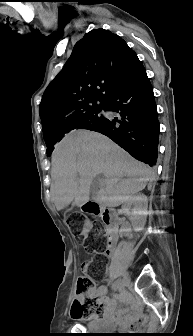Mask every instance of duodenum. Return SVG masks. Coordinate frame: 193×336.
<instances>
[{"label":"duodenum","instance_id":"duodenum-1","mask_svg":"<svg viewBox=\"0 0 193 336\" xmlns=\"http://www.w3.org/2000/svg\"><path fill=\"white\" fill-rule=\"evenodd\" d=\"M84 208L98 214L105 223L107 233L106 254L112 256L115 252L116 235L119 228L120 219L118 214L110 209L99 211V207L95 203H87Z\"/></svg>","mask_w":193,"mask_h":336}]
</instances>
